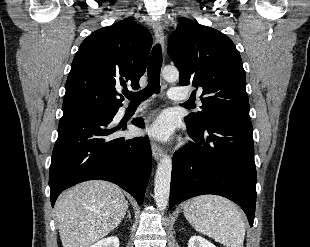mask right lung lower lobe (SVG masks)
Returning <instances> with one entry per match:
<instances>
[{
  "label": "right lung lower lobe",
  "mask_w": 310,
  "mask_h": 247,
  "mask_svg": "<svg viewBox=\"0 0 310 247\" xmlns=\"http://www.w3.org/2000/svg\"><path fill=\"white\" fill-rule=\"evenodd\" d=\"M117 111L62 116L49 171L52 207L63 190L94 179L117 184L142 204L152 163L149 139L116 137L110 123ZM132 123L144 127L141 119Z\"/></svg>",
  "instance_id": "98d812e1"
}]
</instances>
